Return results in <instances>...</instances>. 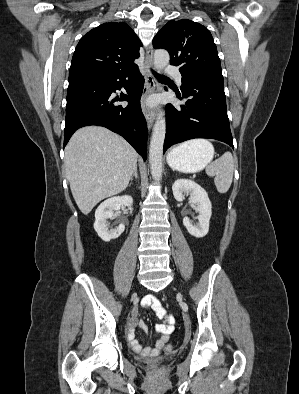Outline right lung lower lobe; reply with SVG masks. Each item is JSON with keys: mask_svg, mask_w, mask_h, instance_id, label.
Returning a JSON list of instances; mask_svg holds the SVG:
<instances>
[{"mask_svg": "<svg viewBox=\"0 0 299 394\" xmlns=\"http://www.w3.org/2000/svg\"><path fill=\"white\" fill-rule=\"evenodd\" d=\"M143 84L138 67L69 82L64 147L77 129L99 125L123 136L146 160L148 130L140 106ZM121 87L127 94L114 96L113 93ZM116 101H128L129 105H116Z\"/></svg>", "mask_w": 299, "mask_h": 394, "instance_id": "right-lung-lower-lobe-1", "label": "right lung lower lobe"}]
</instances>
